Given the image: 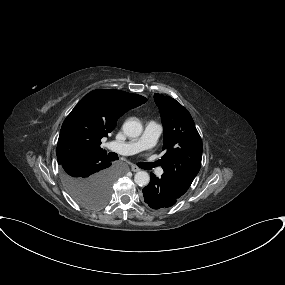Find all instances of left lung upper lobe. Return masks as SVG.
Instances as JSON below:
<instances>
[{
	"label": "left lung upper lobe",
	"instance_id": "1",
	"mask_svg": "<svg viewBox=\"0 0 285 285\" xmlns=\"http://www.w3.org/2000/svg\"><path fill=\"white\" fill-rule=\"evenodd\" d=\"M154 99L163 123L164 174L187 190L201 167V137L185 107L169 96L155 94Z\"/></svg>",
	"mask_w": 285,
	"mask_h": 285
}]
</instances>
